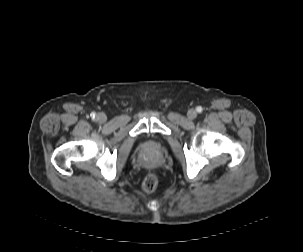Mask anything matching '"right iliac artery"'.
Masks as SVG:
<instances>
[{
  "mask_svg": "<svg viewBox=\"0 0 303 252\" xmlns=\"http://www.w3.org/2000/svg\"><path fill=\"white\" fill-rule=\"evenodd\" d=\"M91 115H92L93 117H95V113H91Z\"/></svg>",
  "mask_w": 303,
  "mask_h": 252,
  "instance_id": "obj_1",
  "label": "right iliac artery"
}]
</instances>
